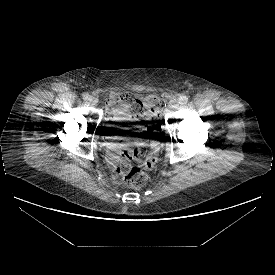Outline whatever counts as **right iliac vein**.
Here are the masks:
<instances>
[{"label": "right iliac vein", "mask_w": 275, "mask_h": 275, "mask_svg": "<svg viewBox=\"0 0 275 275\" xmlns=\"http://www.w3.org/2000/svg\"><path fill=\"white\" fill-rule=\"evenodd\" d=\"M88 101L91 105H96L98 103V98L96 96H90Z\"/></svg>", "instance_id": "right-iliac-vein-1"}]
</instances>
